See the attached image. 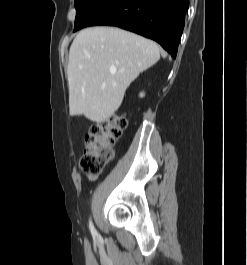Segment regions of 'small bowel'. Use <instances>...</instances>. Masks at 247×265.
Returning a JSON list of instances; mask_svg holds the SVG:
<instances>
[{
    "instance_id": "small-bowel-1",
    "label": "small bowel",
    "mask_w": 247,
    "mask_h": 265,
    "mask_svg": "<svg viewBox=\"0 0 247 265\" xmlns=\"http://www.w3.org/2000/svg\"><path fill=\"white\" fill-rule=\"evenodd\" d=\"M90 178H92V179H93V178H95V177H94L93 175H91V176H90Z\"/></svg>"
}]
</instances>
